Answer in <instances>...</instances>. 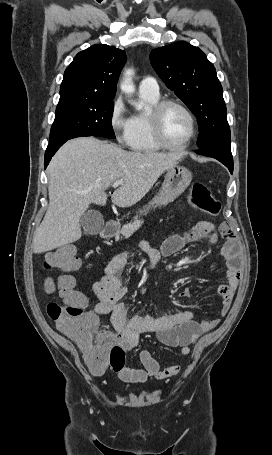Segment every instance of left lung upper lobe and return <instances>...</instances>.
Returning <instances> with one entry per match:
<instances>
[{
    "label": "left lung upper lobe",
    "mask_w": 272,
    "mask_h": 455,
    "mask_svg": "<svg viewBox=\"0 0 272 455\" xmlns=\"http://www.w3.org/2000/svg\"><path fill=\"white\" fill-rule=\"evenodd\" d=\"M150 61L167 87L197 117L198 148L230 138L223 89L203 51L180 41L152 50Z\"/></svg>",
    "instance_id": "obj_1"
}]
</instances>
